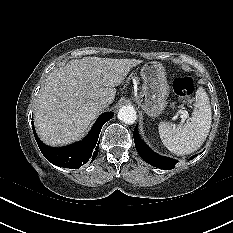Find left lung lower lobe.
Instances as JSON below:
<instances>
[{"label":"left lung lower lobe","mask_w":233,"mask_h":233,"mask_svg":"<svg viewBox=\"0 0 233 233\" xmlns=\"http://www.w3.org/2000/svg\"><path fill=\"white\" fill-rule=\"evenodd\" d=\"M133 137L138 154L148 164L160 169L170 170L173 169L175 164L178 162L177 160L163 157L153 152L139 137L137 127L134 129Z\"/></svg>","instance_id":"1"}]
</instances>
